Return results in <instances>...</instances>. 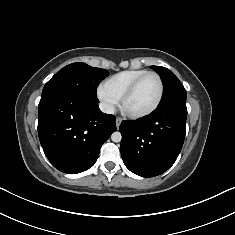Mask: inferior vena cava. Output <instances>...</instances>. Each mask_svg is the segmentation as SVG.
I'll return each instance as SVG.
<instances>
[{
    "instance_id": "602c4592",
    "label": "inferior vena cava",
    "mask_w": 235,
    "mask_h": 235,
    "mask_svg": "<svg viewBox=\"0 0 235 235\" xmlns=\"http://www.w3.org/2000/svg\"><path fill=\"white\" fill-rule=\"evenodd\" d=\"M99 108L103 113H107V114H114L115 113V107L113 105H109L106 103H100Z\"/></svg>"
}]
</instances>
